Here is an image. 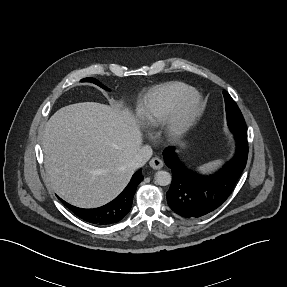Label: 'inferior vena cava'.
<instances>
[{
	"mask_svg": "<svg viewBox=\"0 0 287 287\" xmlns=\"http://www.w3.org/2000/svg\"><path fill=\"white\" fill-rule=\"evenodd\" d=\"M151 156H152L151 147L145 145L139 149L135 157L132 159L131 166L134 169L142 167L150 159Z\"/></svg>",
	"mask_w": 287,
	"mask_h": 287,
	"instance_id": "1",
	"label": "inferior vena cava"
}]
</instances>
